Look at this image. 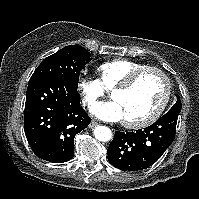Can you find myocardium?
I'll return each instance as SVG.
<instances>
[{
  "mask_svg": "<svg viewBox=\"0 0 199 199\" xmlns=\"http://www.w3.org/2000/svg\"><path fill=\"white\" fill-rule=\"evenodd\" d=\"M150 72L157 73L164 79L165 94L161 102L159 103V105L156 107V109L147 117L141 120H137V121L124 120V125L128 128L138 129V128L149 126L152 123H154L162 115V113L165 111L171 98V94H172L171 79L168 76V74L162 69L158 67H153V66H146L131 73L121 84L115 86L111 91V95H113L116 92H126L130 90L131 88H133L134 85L140 80L141 77H143L145 74L150 73Z\"/></svg>",
  "mask_w": 199,
  "mask_h": 199,
  "instance_id": "1",
  "label": "myocardium"
}]
</instances>
